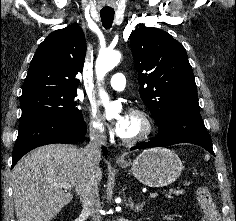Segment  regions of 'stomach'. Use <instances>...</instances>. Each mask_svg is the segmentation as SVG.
<instances>
[{
    "instance_id": "0dacf381",
    "label": "stomach",
    "mask_w": 236,
    "mask_h": 221,
    "mask_svg": "<svg viewBox=\"0 0 236 221\" xmlns=\"http://www.w3.org/2000/svg\"><path fill=\"white\" fill-rule=\"evenodd\" d=\"M119 166H131V173L149 187H163L173 183L183 169L178 155L167 148L144 150L132 162H121Z\"/></svg>"
}]
</instances>
